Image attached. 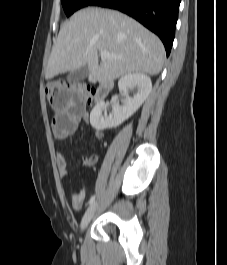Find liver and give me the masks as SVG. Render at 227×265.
I'll return each mask as SVG.
<instances>
[{"instance_id":"obj_1","label":"liver","mask_w":227,"mask_h":265,"mask_svg":"<svg viewBox=\"0 0 227 265\" xmlns=\"http://www.w3.org/2000/svg\"><path fill=\"white\" fill-rule=\"evenodd\" d=\"M100 51L114 57L99 64ZM164 59L161 40L136 20L118 11L87 8L61 26L45 78L87 66L89 82L104 84L130 73L157 75Z\"/></svg>"}]
</instances>
